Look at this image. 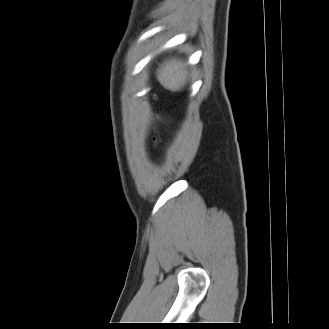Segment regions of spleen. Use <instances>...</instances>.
Returning <instances> with one entry per match:
<instances>
[{"label":"spleen","instance_id":"3e777b00","mask_svg":"<svg viewBox=\"0 0 329 329\" xmlns=\"http://www.w3.org/2000/svg\"><path fill=\"white\" fill-rule=\"evenodd\" d=\"M160 84L170 90L179 91L185 84L186 72L180 61L171 60L165 62L157 74Z\"/></svg>","mask_w":329,"mask_h":329}]
</instances>
